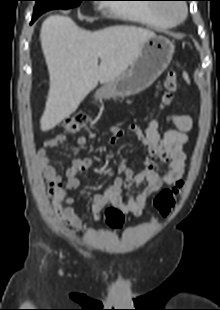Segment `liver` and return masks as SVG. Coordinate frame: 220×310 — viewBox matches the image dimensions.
<instances>
[{"label":"liver","mask_w":220,"mask_h":310,"mask_svg":"<svg viewBox=\"0 0 220 310\" xmlns=\"http://www.w3.org/2000/svg\"><path fill=\"white\" fill-rule=\"evenodd\" d=\"M154 36L153 31L135 26H112L91 32L66 16L45 19L40 40L50 87L41 130L53 129L74 113L98 82L107 83L122 75L143 43Z\"/></svg>","instance_id":"liver-1"}]
</instances>
